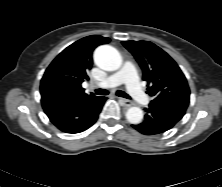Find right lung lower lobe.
Instances as JSON below:
<instances>
[{"label": "right lung lower lobe", "instance_id": "obj_1", "mask_svg": "<svg viewBox=\"0 0 222 187\" xmlns=\"http://www.w3.org/2000/svg\"><path fill=\"white\" fill-rule=\"evenodd\" d=\"M41 103L50 121L66 133H80L97 120L106 97L77 98L61 89L47 85L40 90Z\"/></svg>", "mask_w": 222, "mask_h": 187}]
</instances>
